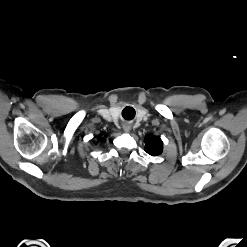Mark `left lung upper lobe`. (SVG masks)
Instances as JSON below:
<instances>
[{
  "mask_svg": "<svg viewBox=\"0 0 247 247\" xmlns=\"http://www.w3.org/2000/svg\"><path fill=\"white\" fill-rule=\"evenodd\" d=\"M146 144L145 151L152 155V156H158L162 153L163 150V143L160 137H147L144 140Z\"/></svg>",
  "mask_w": 247,
  "mask_h": 247,
  "instance_id": "left-lung-upper-lobe-1",
  "label": "left lung upper lobe"
}]
</instances>
